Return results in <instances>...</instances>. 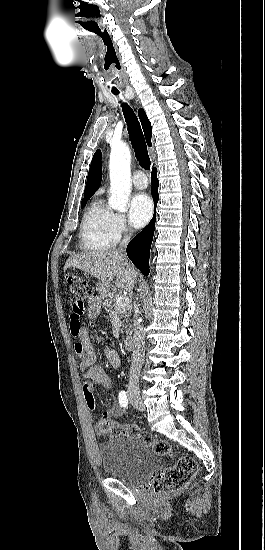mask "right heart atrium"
Segmentation results:
<instances>
[{
    "instance_id": "d8ad5b80",
    "label": "right heart atrium",
    "mask_w": 265,
    "mask_h": 550,
    "mask_svg": "<svg viewBox=\"0 0 265 550\" xmlns=\"http://www.w3.org/2000/svg\"><path fill=\"white\" fill-rule=\"evenodd\" d=\"M113 233L116 240L130 233L126 219L122 214H114L113 218Z\"/></svg>"
}]
</instances>
